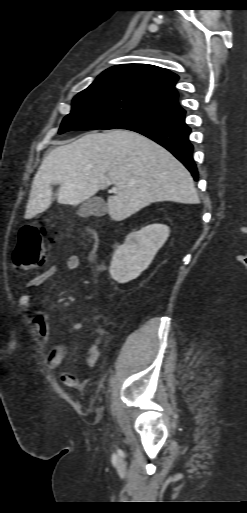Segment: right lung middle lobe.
<instances>
[{
    "mask_svg": "<svg viewBox=\"0 0 247 513\" xmlns=\"http://www.w3.org/2000/svg\"><path fill=\"white\" fill-rule=\"evenodd\" d=\"M171 111L140 94L114 88H94L73 99L71 113L62 121L59 134L70 130L114 129L143 118Z\"/></svg>",
    "mask_w": 247,
    "mask_h": 513,
    "instance_id": "1",
    "label": "right lung middle lobe"
}]
</instances>
